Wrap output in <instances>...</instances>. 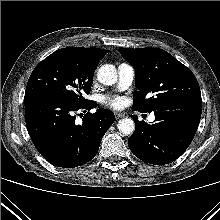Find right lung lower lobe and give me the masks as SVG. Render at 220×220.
I'll return each instance as SVG.
<instances>
[{
	"instance_id": "98d812e1",
	"label": "right lung lower lobe",
	"mask_w": 220,
	"mask_h": 220,
	"mask_svg": "<svg viewBox=\"0 0 220 220\" xmlns=\"http://www.w3.org/2000/svg\"><path fill=\"white\" fill-rule=\"evenodd\" d=\"M24 104L26 126L36 149L57 167L73 168L92 160L114 122V113L100 108L86 113L82 125L75 124L74 111L96 107L92 100L74 104L51 94L28 93Z\"/></svg>"
}]
</instances>
